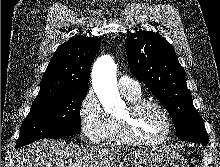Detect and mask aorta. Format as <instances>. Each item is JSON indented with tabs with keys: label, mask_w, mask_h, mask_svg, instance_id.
<instances>
[{
	"label": "aorta",
	"mask_w": 220,
	"mask_h": 167,
	"mask_svg": "<svg viewBox=\"0 0 220 167\" xmlns=\"http://www.w3.org/2000/svg\"><path fill=\"white\" fill-rule=\"evenodd\" d=\"M116 70L114 60L108 55L99 58L92 69L93 88L107 113H115L125 106L118 91Z\"/></svg>",
	"instance_id": "aorta-1"
}]
</instances>
